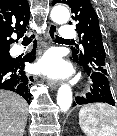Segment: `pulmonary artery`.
<instances>
[{"instance_id":"e3ab8cb5","label":"pulmonary artery","mask_w":117,"mask_h":136,"mask_svg":"<svg viewBox=\"0 0 117 136\" xmlns=\"http://www.w3.org/2000/svg\"><path fill=\"white\" fill-rule=\"evenodd\" d=\"M76 36V30L68 25H64L60 31V37L63 39H73ZM17 53L21 52V49L16 50Z\"/></svg>"}]
</instances>
